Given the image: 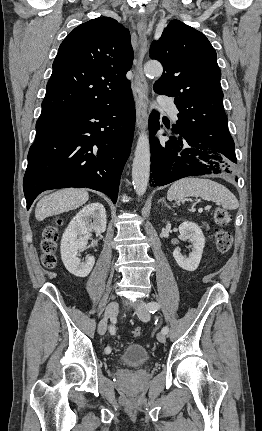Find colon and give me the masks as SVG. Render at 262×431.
Here are the masks:
<instances>
[{
  "mask_svg": "<svg viewBox=\"0 0 262 431\" xmlns=\"http://www.w3.org/2000/svg\"><path fill=\"white\" fill-rule=\"evenodd\" d=\"M215 218L219 225L215 231V247L216 251L220 254L228 253L232 247L231 233L223 229L222 226L227 225L231 220L230 213L224 208H217L215 211ZM47 225L42 230V237L40 241L42 251V263L46 268H54L57 263L56 248L58 240V225ZM142 334V328L137 327L133 330V335L138 337Z\"/></svg>",
  "mask_w": 262,
  "mask_h": 431,
  "instance_id": "obj_1",
  "label": "colon"
}]
</instances>
